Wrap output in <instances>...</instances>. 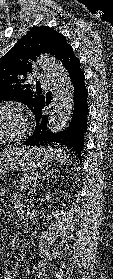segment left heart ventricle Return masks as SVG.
I'll list each match as a JSON object with an SVG mask.
<instances>
[{"label":"left heart ventricle","mask_w":113,"mask_h":279,"mask_svg":"<svg viewBox=\"0 0 113 279\" xmlns=\"http://www.w3.org/2000/svg\"><path fill=\"white\" fill-rule=\"evenodd\" d=\"M20 127L21 121L16 111L11 109L0 111V137L16 133Z\"/></svg>","instance_id":"1"}]
</instances>
